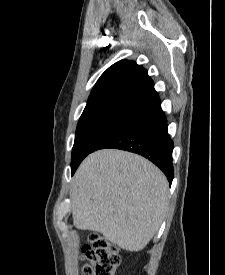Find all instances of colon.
I'll list each match as a JSON object with an SVG mask.
<instances>
[{
    "label": "colon",
    "mask_w": 225,
    "mask_h": 275,
    "mask_svg": "<svg viewBox=\"0 0 225 275\" xmlns=\"http://www.w3.org/2000/svg\"><path fill=\"white\" fill-rule=\"evenodd\" d=\"M83 275H114L120 264L117 247L103 236L93 233L83 247Z\"/></svg>",
    "instance_id": "5ec220e1"
}]
</instances>
